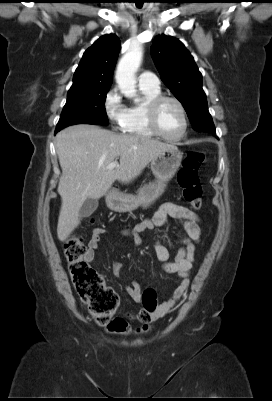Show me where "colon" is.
<instances>
[{
  "label": "colon",
  "mask_w": 272,
  "mask_h": 401,
  "mask_svg": "<svg viewBox=\"0 0 272 401\" xmlns=\"http://www.w3.org/2000/svg\"><path fill=\"white\" fill-rule=\"evenodd\" d=\"M204 161L200 151L189 152L183 160L177 175V182L182 190L184 200L193 208L200 209L202 205V188L198 171ZM86 246L79 235H73L64 243V254L69 263V270L75 290L81 301L85 303L100 325H109L119 305L118 295L103 281V278L86 260ZM146 311L152 312L157 307L156 294L147 289L142 296Z\"/></svg>",
  "instance_id": "obj_1"
}]
</instances>
